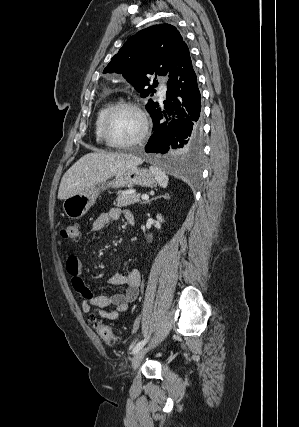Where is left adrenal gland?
<instances>
[{
    "label": "left adrenal gland",
    "instance_id": "obj_1",
    "mask_svg": "<svg viewBox=\"0 0 299 427\" xmlns=\"http://www.w3.org/2000/svg\"><path fill=\"white\" fill-rule=\"evenodd\" d=\"M161 197H163V198H167V199H169V198H170V197H169V194H165L164 196H157V197H155V198H152L151 200L147 201V203H150L152 200H156V199L161 198Z\"/></svg>",
    "mask_w": 299,
    "mask_h": 427
}]
</instances>
